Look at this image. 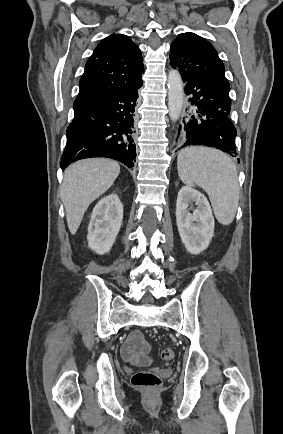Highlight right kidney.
<instances>
[{
  "instance_id": "ca27d5eb",
  "label": "right kidney",
  "mask_w": 283,
  "mask_h": 434,
  "mask_svg": "<svg viewBox=\"0 0 283 434\" xmlns=\"http://www.w3.org/2000/svg\"><path fill=\"white\" fill-rule=\"evenodd\" d=\"M123 206L116 194L102 198L94 207L88 226V246L97 254L110 251L121 228Z\"/></svg>"
}]
</instances>
